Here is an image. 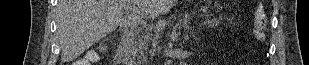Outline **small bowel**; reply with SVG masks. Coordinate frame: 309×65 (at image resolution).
<instances>
[{
	"label": "small bowel",
	"instance_id": "c3829d8e",
	"mask_svg": "<svg viewBox=\"0 0 309 65\" xmlns=\"http://www.w3.org/2000/svg\"><path fill=\"white\" fill-rule=\"evenodd\" d=\"M96 59V54L94 53V56L92 58H86L81 63H89L90 61H94Z\"/></svg>",
	"mask_w": 309,
	"mask_h": 65
}]
</instances>
